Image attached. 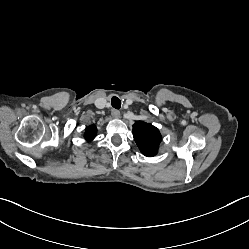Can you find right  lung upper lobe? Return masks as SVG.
Returning <instances> with one entry per match:
<instances>
[{
	"label": "right lung upper lobe",
	"instance_id": "obj_1",
	"mask_svg": "<svg viewBox=\"0 0 249 249\" xmlns=\"http://www.w3.org/2000/svg\"><path fill=\"white\" fill-rule=\"evenodd\" d=\"M96 132H97V128L96 126L94 125H91L89 126L87 129H86V132H85V139L88 140V141H91L95 138L96 136Z\"/></svg>",
	"mask_w": 249,
	"mask_h": 249
}]
</instances>
